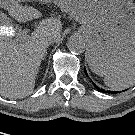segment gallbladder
Instances as JSON below:
<instances>
[{
    "label": "gallbladder",
    "mask_w": 135,
    "mask_h": 135,
    "mask_svg": "<svg viewBox=\"0 0 135 135\" xmlns=\"http://www.w3.org/2000/svg\"><path fill=\"white\" fill-rule=\"evenodd\" d=\"M8 24H9V20L7 16L0 11V25H8Z\"/></svg>",
    "instance_id": "obj_1"
}]
</instances>
